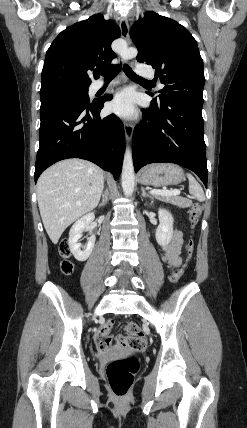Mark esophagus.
Here are the masks:
<instances>
[{
	"instance_id": "1",
	"label": "esophagus",
	"mask_w": 247,
	"mask_h": 428,
	"mask_svg": "<svg viewBox=\"0 0 247 428\" xmlns=\"http://www.w3.org/2000/svg\"><path fill=\"white\" fill-rule=\"evenodd\" d=\"M119 26H120L122 38H124L127 42H129L130 28L126 17L121 19ZM128 64L132 65L133 61H129ZM124 131H125L126 140L128 142H131L132 136H133V125L131 122H127V121L124 122Z\"/></svg>"
}]
</instances>
